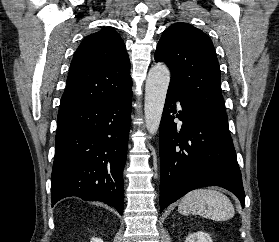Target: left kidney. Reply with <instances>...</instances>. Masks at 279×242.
Returning a JSON list of instances; mask_svg holds the SVG:
<instances>
[{"mask_svg": "<svg viewBox=\"0 0 279 242\" xmlns=\"http://www.w3.org/2000/svg\"><path fill=\"white\" fill-rule=\"evenodd\" d=\"M185 242H213L210 235L203 231L191 233L186 237Z\"/></svg>", "mask_w": 279, "mask_h": 242, "instance_id": "obj_1", "label": "left kidney"}]
</instances>
